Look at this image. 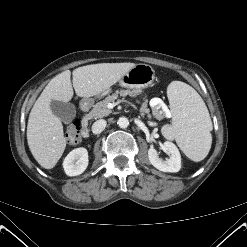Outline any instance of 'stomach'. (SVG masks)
<instances>
[{"instance_id":"0dacf381","label":"stomach","mask_w":247,"mask_h":247,"mask_svg":"<svg viewBox=\"0 0 247 247\" xmlns=\"http://www.w3.org/2000/svg\"><path fill=\"white\" fill-rule=\"evenodd\" d=\"M154 79L155 72L151 66L137 64L121 77L119 84L124 88L140 91L152 85Z\"/></svg>"}]
</instances>
